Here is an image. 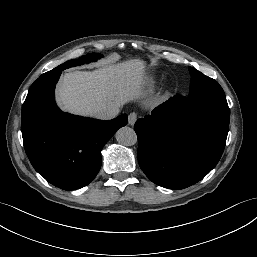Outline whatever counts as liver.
I'll return each instance as SVG.
<instances>
[{"label": "liver", "instance_id": "liver-1", "mask_svg": "<svg viewBox=\"0 0 257 257\" xmlns=\"http://www.w3.org/2000/svg\"><path fill=\"white\" fill-rule=\"evenodd\" d=\"M145 82L144 61L131 59L94 71L66 73L57 87L56 98L63 110L92 116L97 108H120L137 99Z\"/></svg>", "mask_w": 257, "mask_h": 257}]
</instances>
